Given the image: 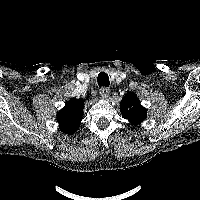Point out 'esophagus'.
<instances>
[{
    "mask_svg": "<svg viewBox=\"0 0 200 200\" xmlns=\"http://www.w3.org/2000/svg\"><path fill=\"white\" fill-rule=\"evenodd\" d=\"M100 95L102 98H108L109 94H110V89L108 87H101L100 89Z\"/></svg>",
    "mask_w": 200,
    "mask_h": 200,
    "instance_id": "esophagus-1",
    "label": "esophagus"
}]
</instances>
